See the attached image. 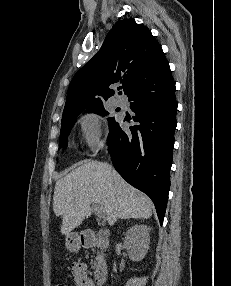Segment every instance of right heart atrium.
<instances>
[{
	"label": "right heart atrium",
	"mask_w": 231,
	"mask_h": 286,
	"mask_svg": "<svg viewBox=\"0 0 231 286\" xmlns=\"http://www.w3.org/2000/svg\"><path fill=\"white\" fill-rule=\"evenodd\" d=\"M81 138L88 150L96 152L104 145L103 125L99 114L88 112L79 119Z\"/></svg>",
	"instance_id": "d8ad5b80"
}]
</instances>
